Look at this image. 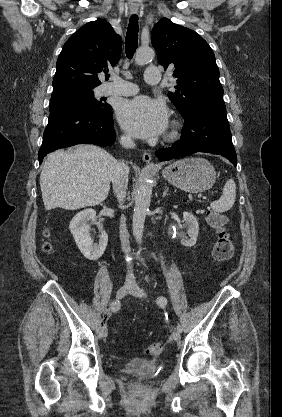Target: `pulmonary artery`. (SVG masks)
Here are the masks:
<instances>
[{"label":"pulmonary artery","mask_w":282,"mask_h":417,"mask_svg":"<svg viewBox=\"0 0 282 417\" xmlns=\"http://www.w3.org/2000/svg\"><path fill=\"white\" fill-rule=\"evenodd\" d=\"M160 73L159 65H148L144 73V79L146 83L156 84L161 83L162 76ZM113 83H119L121 86L109 85L104 89L106 95H120V96H131L138 91L137 86L134 83L123 80L118 76L111 78Z\"/></svg>","instance_id":"obj_1"}]
</instances>
